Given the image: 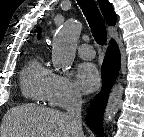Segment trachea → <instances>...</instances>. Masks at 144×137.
Returning a JSON list of instances; mask_svg holds the SVG:
<instances>
[{
    "label": "trachea",
    "mask_w": 144,
    "mask_h": 137,
    "mask_svg": "<svg viewBox=\"0 0 144 137\" xmlns=\"http://www.w3.org/2000/svg\"><path fill=\"white\" fill-rule=\"evenodd\" d=\"M83 13L89 23L92 35L99 45L107 41V31L104 19L94 0H78Z\"/></svg>",
    "instance_id": "trachea-1"
}]
</instances>
